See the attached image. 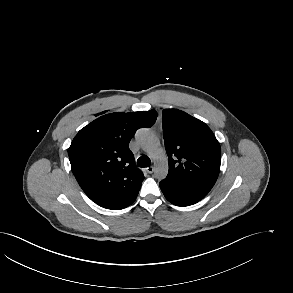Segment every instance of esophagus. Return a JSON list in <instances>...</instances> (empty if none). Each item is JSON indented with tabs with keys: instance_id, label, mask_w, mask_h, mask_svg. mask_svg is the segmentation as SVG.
I'll use <instances>...</instances> for the list:
<instances>
[{
	"instance_id": "obj_1",
	"label": "esophagus",
	"mask_w": 293,
	"mask_h": 293,
	"mask_svg": "<svg viewBox=\"0 0 293 293\" xmlns=\"http://www.w3.org/2000/svg\"><path fill=\"white\" fill-rule=\"evenodd\" d=\"M147 173L152 174L154 172V167L150 166L146 168Z\"/></svg>"
}]
</instances>
